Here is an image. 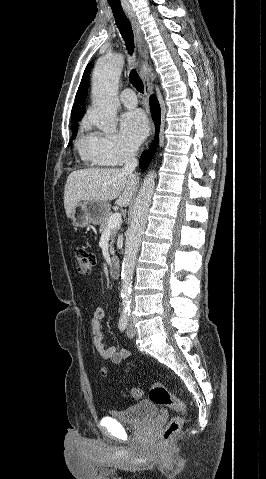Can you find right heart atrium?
Returning a JSON list of instances; mask_svg holds the SVG:
<instances>
[{
    "instance_id": "obj_1",
    "label": "right heart atrium",
    "mask_w": 266,
    "mask_h": 479,
    "mask_svg": "<svg viewBox=\"0 0 266 479\" xmlns=\"http://www.w3.org/2000/svg\"><path fill=\"white\" fill-rule=\"evenodd\" d=\"M95 156L106 165L119 166L134 157V150L116 132L91 134Z\"/></svg>"
}]
</instances>
